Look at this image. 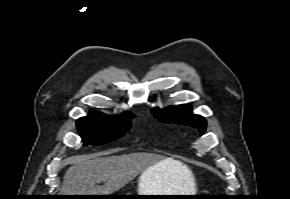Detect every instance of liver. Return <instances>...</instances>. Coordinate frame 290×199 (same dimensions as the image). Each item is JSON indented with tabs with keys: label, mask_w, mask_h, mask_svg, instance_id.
Wrapping results in <instances>:
<instances>
[{
	"label": "liver",
	"mask_w": 290,
	"mask_h": 199,
	"mask_svg": "<svg viewBox=\"0 0 290 199\" xmlns=\"http://www.w3.org/2000/svg\"><path fill=\"white\" fill-rule=\"evenodd\" d=\"M154 165L159 167V173L170 177L172 193L194 191L192 173L182 162L150 153H130L95 157L69 167L61 195H111ZM101 181H104L103 186L98 185Z\"/></svg>",
	"instance_id": "liver-1"
}]
</instances>
